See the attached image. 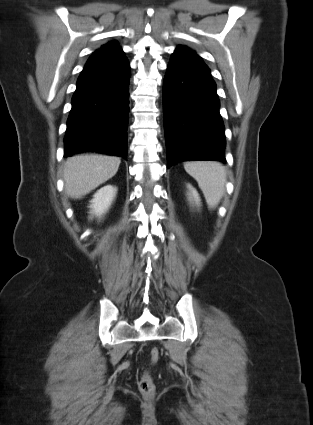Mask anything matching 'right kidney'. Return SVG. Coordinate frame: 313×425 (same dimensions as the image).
Here are the masks:
<instances>
[{
  "label": "right kidney",
  "mask_w": 313,
  "mask_h": 425,
  "mask_svg": "<svg viewBox=\"0 0 313 425\" xmlns=\"http://www.w3.org/2000/svg\"><path fill=\"white\" fill-rule=\"evenodd\" d=\"M116 193L117 188L112 185L104 186L98 190L90 201V213L100 218L110 208Z\"/></svg>",
  "instance_id": "obj_1"
}]
</instances>
